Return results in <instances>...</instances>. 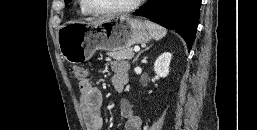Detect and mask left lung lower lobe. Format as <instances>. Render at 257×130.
I'll return each mask as SVG.
<instances>
[{"label":"left lung lower lobe","instance_id":"1","mask_svg":"<svg viewBox=\"0 0 257 130\" xmlns=\"http://www.w3.org/2000/svg\"><path fill=\"white\" fill-rule=\"evenodd\" d=\"M201 0H149L133 14L175 30L191 49L200 17Z\"/></svg>","mask_w":257,"mask_h":130}]
</instances>
